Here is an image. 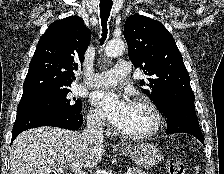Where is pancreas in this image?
Wrapping results in <instances>:
<instances>
[{"label": "pancreas", "instance_id": "1", "mask_svg": "<svg viewBox=\"0 0 224 174\" xmlns=\"http://www.w3.org/2000/svg\"><path fill=\"white\" fill-rule=\"evenodd\" d=\"M131 170H133V174H149L148 172H145L141 169H137V168H129Z\"/></svg>", "mask_w": 224, "mask_h": 174}]
</instances>
